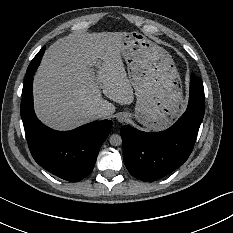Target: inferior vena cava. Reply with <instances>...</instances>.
Here are the masks:
<instances>
[{
    "label": "inferior vena cava",
    "mask_w": 233,
    "mask_h": 233,
    "mask_svg": "<svg viewBox=\"0 0 233 233\" xmlns=\"http://www.w3.org/2000/svg\"><path fill=\"white\" fill-rule=\"evenodd\" d=\"M91 113H92L93 117L96 119L103 118L106 115V112L104 109H95Z\"/></svg>",
    "instance_id": "1"
}]
</instances>
